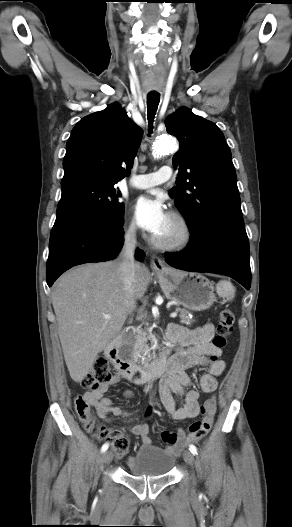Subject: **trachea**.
Wrapping results in <instances>:
<instances>
[{"label": "trachea", "instance_id": "trachea-1", "mask_svg": "<svg viewBox=\"0 0 292 527\" xmlns=\"http://www.w3.org/2000/svg\"><path fill=\"white\" fill-rule=\"evenodd\" d=\"M160 102V95L158 93H149L147 95V117L149 124V132L152 131V124L155 118V114Z\"/></svg>", "mask_w": 292, "mask_h": 527}]
</instances>
